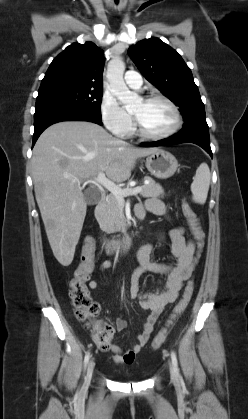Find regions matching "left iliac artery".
<instances>
[{
    "label": "left iliac artery",
    "mask_w": 248,
    "mask_h": 419,
    "mask_svg": "<svg viewBox=\"0 0 248 419\" xmlns=\"http://www.w3.org/2000/svg\"><path fill=\"white\" fill-rule=\"evenodd\" d=\"M171 359H172V363L174 365V370L176 372L177 376H180L179 374V369H178V362H177V357L174 351L171 352Z\"/></svg>",
    "instance_id": "44dca946"
}]
</instances>
